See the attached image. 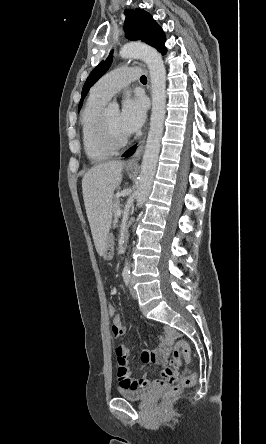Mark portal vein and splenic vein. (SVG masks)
Here are the masks:
<instances>
[{"mask_svg": "<svg viewBox=\"0 0 266 444\" xmlns=\"http://www.w3.org/2000/svg\"><path fill=\"white\" fill-rule=\"evenodd\" d=\"M116 213H117V216H118V217H120V216H121V209H120V207H118V209H117V212H116Z\"/></svg>", "mask_w": 266, "mask_h": 444, "instance_id": "obj_1", "label": "portal vein and splenic vein"}]
</instances>
